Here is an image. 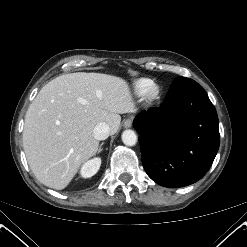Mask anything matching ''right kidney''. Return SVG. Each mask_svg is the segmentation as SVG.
<instances>
[{
	"instance_id": "obj_1",
	"label": "right kidney",
	"mask_w": 247,
	"mask_h": 247,
	"mask_svg": "<svg viewBox=\"0 0 247 247\" xmlns=\"http://www.w3.org/2000/svg\"><path fill=\"white\" fill-rule=\"evenodd\" d=\"M101 165L100 158H93L87 162H85L81 168L80 174L83 178H90L95 175Z\"/></svg>"
}]
</instances>
